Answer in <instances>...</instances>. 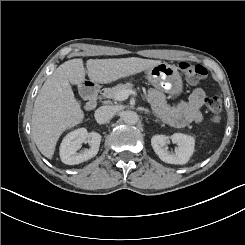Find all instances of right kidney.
Returning <instances> with one entry per match:
<instances>
[{
	"instance_id": "1",
	"label": "right kidney",
	"mask_w": 245,
	"mask_h": 245,
	"mask_svg": "<svg viewBox=\"0 0 245 245\" xmlns=\"http://www.w3.org/2000/svg\"><path fill=\"white\" fill-rule=\"evenodd\" d=\"M101 135L97 132H87L86 128H79L68 133L60 145V158L64 164L75 165L93 158L99 151ZM82 143H88L89 149L77 152Z\"/></svg>"
}]
</instances>
